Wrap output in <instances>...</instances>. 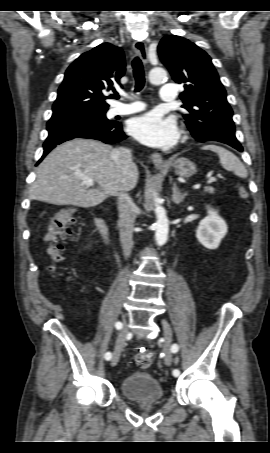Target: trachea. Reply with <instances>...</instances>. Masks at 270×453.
<instances>
[{"label":"trachea","instance_id":"obj_1","mask_svg":"<svg viewBox=\"0 0 270 453\" xmlns=\"http://www.w3.org/2000/svg\"><path fill=\"white\" fill-rule=\"evenodd\" d=\"M133 75L135 79V92H139L145 85V73L141 60L135 57L132 61ZM115 99H119V95H114Z\"/></svg>","mask_w":270,"mask_h":453}]
</instances>
